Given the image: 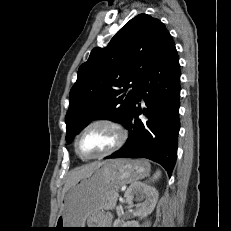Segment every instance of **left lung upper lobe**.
Wrapping results in <instances>:
<instances>
[{"mask_svg": "<svg viewBox=\"0 0 231 231\" xmlns=\"http://www.w3.org/2000/svg\"><path fill=\"white\" fill-rule=\"evenodd\" d=\"M169 34L147 14L131 19L105 48H94L78 70L65 117L69 143L92 120L124 124L135 105L141 79ZM132 88L128 92V89Z\"/></svg>", "mask_w": 231, "mask_h": 231, "instance_id": "1", "label": "left lung upper lobe"}]
</instances>
